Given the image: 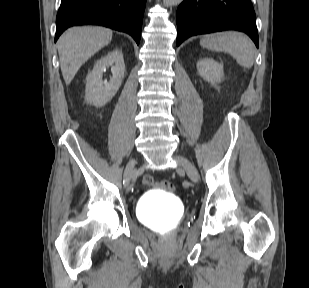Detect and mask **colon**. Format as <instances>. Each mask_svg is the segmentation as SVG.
Returning <instances> with one entry per match:
<instances>
[{
    "mask_svg": "<svg viewBox=\"0 0 309 288\" xmlns=\"http://www.w3.org/2000/svg\"><path fill=\"white\" fill-rule=\"evenodd\" d=\"M143 182H144V184H146V185H152V184H154V180H153V178L150 177V176H146V177L144 178ZM158 185H159L160 188H162V189H164V190H167V191H169V190L172 189V185H171L169 182H166V181H162V182L158 183Z\"/></svg>",
    "mask_w": 309,
    "mask_h": 288,
    "instance_id": "5ec220e1",
    "label": "colon"
}]
</instances>
